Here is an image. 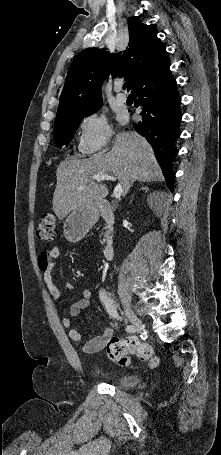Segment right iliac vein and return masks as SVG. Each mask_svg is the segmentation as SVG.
Listing matches in <instances>:
<instances>
[{
	"mask_svg": "<svg viewBox=\"0 0 221 455\" xmlns=\"http://www.w3.org/2000/svg\"><path fill=\"white\" fill-rule=\"evenodd\" d=\"M126 312L128 314L129 320L134 326V330L138 333L141 332L144 329L142 321L130 309L126 308Z\"/></svg>",
	"mask_w": 221,
	"mask_h": 455,
	"instance_id": "1",
	"label": "right iliac vein"
}]
</instances>
